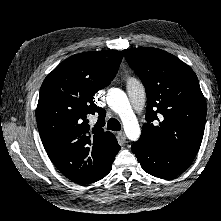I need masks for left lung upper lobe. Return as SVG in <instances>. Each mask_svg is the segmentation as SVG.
Here are the masks:
<instances>
[{
    "instance_id": "left-lung-upper-lobe-1",
    "label": "left lung upper lobe",
    "mask_w": 221,
    "mask_h": 221,
    "mask_svg": "<svg viewBox=\"0 0 221 221\" xmlns=\"http://www.w3.org/2000/svg\"><path fill=\"white\" fill-rule=\"evenodd\" d=\"M125 58L140 77L147 95L142 147H162L194 160L206 120V101L194 71L163 50L127 49Z\"/></svg>"
}]
</instances>
